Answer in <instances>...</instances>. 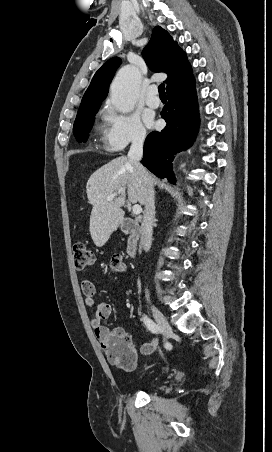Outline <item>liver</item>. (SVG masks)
I'll return each instance as SVG.
<instances>
[{
  "instance_id": "1",
  "label": "liver",
  "mask_w": 272,
  "mask_h": 452,
  "mask_svg": "<svg viewBox=\"0 0 272 452\" xmlns=\"http://www.w3.org/2000/svg\"><path fill=\"white\" fill-rule=\"evenodd\" d=\"M153 180V179H152ZM128 200L143 204V184L126 156L117 157L97 169L88 179L86 192L92 205L90 234L97 247H102L124 219L122 206ZM120 191L111 201L107 198Z\"/></svg>"
}]
</instances>
